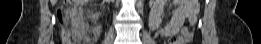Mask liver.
I'll return each mask as SVG.
<instances>
[{"mask_svg": "<svg viewBox=\"0 0 261 44\" xmlns=\"http://www.w3.org/2000/svg\"><path fill=\"white\" fill-rule=\"evenodd\" d=\"M67 14H70V11H67ZM70 17L72 19V32H73V38L76 42H80L82 37H81V29L84 26L82 17L80 15L74 14Z\"/></svg>", "mask_w": 261, "mask_h": 44, "instance_id": "1", "label": "liver"}]
</instances>
